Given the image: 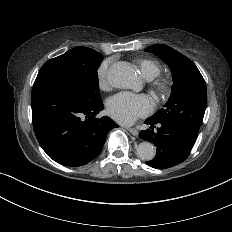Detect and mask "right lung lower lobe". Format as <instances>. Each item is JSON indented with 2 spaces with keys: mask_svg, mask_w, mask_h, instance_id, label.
<instances>
[{
  "mask_svg": "<svg viewBox=\"0 0 232 232\" xmlns=\"http://www.w3.org/2000/svg\"><path fill=\"white\" fill-rule=\"evenodd\" d=\"M32 122L46 154L65 166H82L101 151L108 132L119 127L111 118H96L102 100L83 101L58 74L41 70L31 94Z\"/></svg>",
  "mask_w": 232,
  "mask_h": 232,
  "instance_id": "obj_1",
  "label": "right lung lower lobe"
}]
</instances>
